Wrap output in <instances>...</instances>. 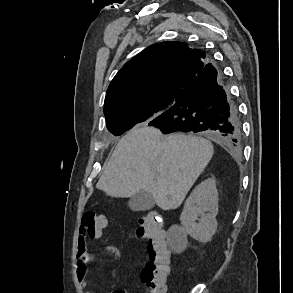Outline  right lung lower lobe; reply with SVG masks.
<instances>
[{
	"mask_svg": "<svg viewBox=\"0 0 293 293\" xmlns=\"http://www.w3.org/2000/svg\"><path fill=\"white\" fill-rule=\"evenodd\" d=\"M148 125L163 133L204 132L229 146L241 143L237 106L223 85L221 72L211 62L181 91L172 107Z\"/></svg>",
	"mask_w": 293,
	"mask_h": 293,
	"instance_id": "obj_1",
	"label": "right lung lower lobe"
}]
</instances>
